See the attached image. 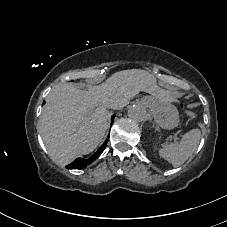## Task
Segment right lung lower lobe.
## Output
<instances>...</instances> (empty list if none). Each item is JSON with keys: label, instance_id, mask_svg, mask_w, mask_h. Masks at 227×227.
Listing matches in <instances>:
<instances>
[{"label": "right lung lower lobe", "instance_id": "1", "mask_svg": "<svg viewBox=\"0 0 227 227\" xmlns=\"http://www.w3.org/2000/svg\"><path fill=\"white\" fill-rule=\"evenodd\" d=\"M113 122V119H112ZM108 140H106L100 147L99 149L88 159H83V158H77L74 160L70 165H67V169H82L87 167V165L91 164L94 162L104 151L106 145H107Z\"/></svg>", "mask_w": 227, "mask_h": 227}]
</instances>
